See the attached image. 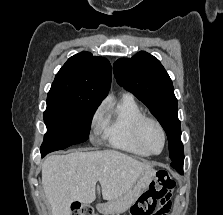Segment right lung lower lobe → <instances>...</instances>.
Returning <instances> with one entry per match:
<instances>
[{
    "mask_svg": "<svg viewBox=\"0 0 223 215\" xmlns=\"http://www.w3.org/2000/svg\"><path fill=\"white\" fill-rule=\"evenodd\" d=\"M42 155V157H44L46 154H41Z\"/></svg>",
    "mask_w": 223,
    "mask_h": 215,
    "instance_id": "1",
    "label": "right lung lower lobe"
}]
</instances>
